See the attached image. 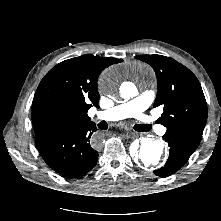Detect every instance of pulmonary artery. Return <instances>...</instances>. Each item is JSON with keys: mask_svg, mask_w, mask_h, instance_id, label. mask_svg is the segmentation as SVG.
Returning <instances> with one entry per match:
<instances>
[{"mask_svg": "<svg viewBox=\"0 0 221 221\" xmlns=\"http://www.w3.org/2000/svg\"><path fill=\"white\" fill-rule=\"evenodd\" d=\"M153 99L154 92L146 91L133 99L97 113L96 117L106 121H116L134 117L148 126L151 131L161 134L165 132L166 129L158 124L153 116L145 113Z\"/></svg>", "mask_w": 221, "mask_h": 221, "instance_id": "pulmonary-artery-1", "label": "pulmonary artery"}]
</instances>
